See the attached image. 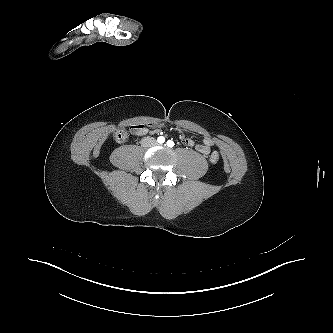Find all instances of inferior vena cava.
<instances>
[{
  "instance_id": "602c4592",
  "label": "inferior vena cava",
  "mask_w": 333,
  "mask_h": 333,
  "mask_svg": "<svg viewBox=\"0 0 333 333\" xmlns=\"http://www.w3.org/2000/svg\"><path fill=\"white\" fill-rule=\"evenodd\" d=\"M148 140H152V138L143 139V140H142V142H141V143H142V145H143V146H146V145H147V141H148Z\"/></svg>"
}]
</instances>
